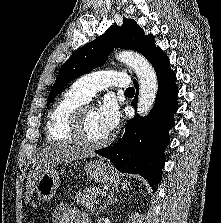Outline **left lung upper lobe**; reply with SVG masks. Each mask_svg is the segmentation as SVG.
Segmentation results:
<instances>
[{
  "label": "left lung upper lobe",
  "instance_id": "1",
  "mask_svg": "<svg viewBox=\"0 0 221 223\" xmlns=\"http://www.w3.org/2000/svg\"><path fill=\"white\" fill-rule=\"evenodd\" d=\"M117 47L141 53L152 65L162 54V50L155 47L151 34L146 36L134 20L125 18L121 27L112 25L100 37L78 49L62 65L51 88L47 105L70 81L102 66L109 53Z\"/></svg>",
  "mask_w": 221,
  "mask_h": 223
}]
</instances>
